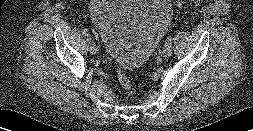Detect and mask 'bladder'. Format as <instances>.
I'll list each match as a JSON object with an SVG mask.
<instances>
[{
    "mask_svg": "<svg viewBox=\"0 0 253 131\" xmlns=\"http://www.w3.org/2000/svg\"><path fill=\"white\" fill-rule=\"evenodd\" d=\"M170 0H91L90 16L105 54L136 71L148 60L172 18Z\"/></svg>",
    "mask_w": 253,
    "mask_h": 131,
    "instance_id": "bladder-1",
    "label": "bladder"
}]
</instances>
